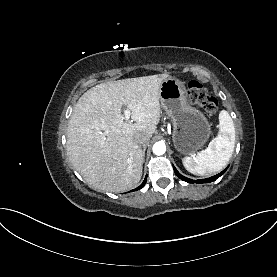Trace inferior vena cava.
I'll return each mask as SVG.
<instances>
[{
    "label": "inferior vena cava",
    "instance_id": "obj_1",
    "mask_svg": "<svg viewBox=\"0 0 277 277\" xmlns=\"http://www.w3.org/2000/svg\"><path fill=\"white\" fill-rule=\"evenodd\" d=\"M149 140H150V138L145 134L138 133L135 135V141L140 146L145 147L149 143Z\"/></svg>",
    "mask_w": 277,
    "mask_h": 277
}]
</instances>
